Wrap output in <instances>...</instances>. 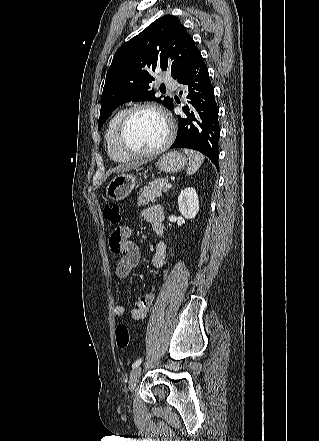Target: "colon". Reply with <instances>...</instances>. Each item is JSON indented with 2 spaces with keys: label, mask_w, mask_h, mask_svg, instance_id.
Returning <instances> with one entry per match:
<instances>
[{
  "label": "colon",
  "mask_w": 319,
  "mask_h": 441,
  "mask_svg": "<svg viewBox=\"0 0 319 441\" xmlns=\"http://www.w3.org/2000/svg\"><path fill=\"white\" fill-rule=\"evenodd\" d=\"M103 216L105 220L115 228L113 231V235H118V231L120 229V225L122 223L121 210L119 205L110 204L104 207ZM115 340L116 344L119 348L125 349L129 345V331L126 325L121 324L116 328L115 331Z\"/></svg>",
  "instance_id": "obj_1"
}]
</instances>
